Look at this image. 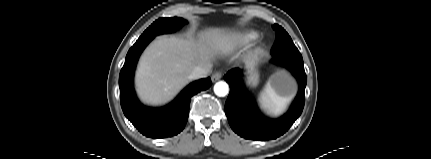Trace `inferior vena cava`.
Listing matches in <instances>:
<instances>
[{
	"mask_svg": "<svg viewBox=\"0 0 431 159\" xmlns=\"http://www.w3.org/2000/svg\"><path fill=\"white\" fill-rule=\"evenodd\" d=\"M211 64H207L205 66H197L193 69V71L189 75V79H199L206 77L211 72Z\"/></svg>",
	"mask_w": 431,
	"mask_h": 159,
	"instance_id": "1",
	"label": "inferior vena cava"
}]
</instances>
